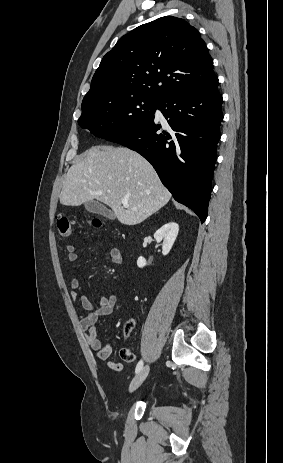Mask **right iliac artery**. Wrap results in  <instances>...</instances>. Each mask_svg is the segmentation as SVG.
I'll return each instance as SVG.
<instances>
[{"label":"right iliac artery","instance_id":"1","mask_svg":"<svg viewBox=\"0 0 283 463\" xmlns=\"http://www.w3.org/2000/svg\"><path fill=\"white\" fill-rule=\"evenodd\" d=\"M143 367V361L140 360L136 366L135 373H138Z\"/></svg>","mask_w":283,"mask_h":463}]
</instances>
